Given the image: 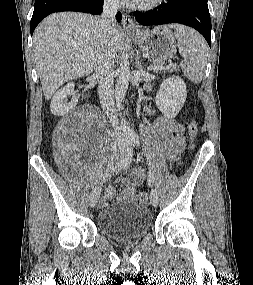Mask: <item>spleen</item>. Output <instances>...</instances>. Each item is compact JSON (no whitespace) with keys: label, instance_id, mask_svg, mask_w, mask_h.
<instances>
[{"label":"spleen","instance_id":"spleen-1","mask_svg":"<svg viewBox=\"0 0 253 285\" xmlns=\"http://www.w3.org/2000/svg\"><path fill=\"white\" fill-rule=\"evenodd\" d=\"M175 29L179 53L183 57L181 69L191 82L200 83L207 63L208 46L195 30L182 25H177Z\"/></svg>","mask_w":253,"mask_h":285}]
</instances>
